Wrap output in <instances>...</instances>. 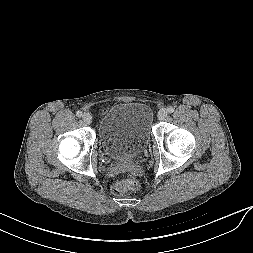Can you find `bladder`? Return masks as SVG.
I'll return each instance as SVG.
<instances>
[{"label": "bladder", "mask_w": 253, "mask_h": 253, "mask_svg": "<svg viewBox=\"0 0 253 253\" xmlns=\"http://www.w3.org/2000/svg\"><path fill=\"white\" fill-rule=\"evenodd\" d=\"M153 113L143 102L113 105L101 118L98 134L105 155L114 160L137 156L149 143Z\"/></svg>", "instance_id": "obj_1"}]
</instances>
